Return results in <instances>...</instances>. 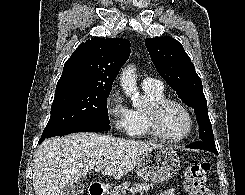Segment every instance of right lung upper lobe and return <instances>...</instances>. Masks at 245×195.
Wrapping results in <instances>:
<instances>
[{"instance_id": "obj_1", "label": "right lung upper lobe", "mask_w": 245, "mask_h": 195, "mask_svg": "<svg viewBox=\"0 0 245 195\" xmlns=\"http://www.w3.org/2000/svg\"><path fill=\"white\" fill-rule=\"evenodd\" d=\"M130 41L94 37L81 43L64 64L55 92L76 89L111 91L113 81L130 55Z\"/></svg>"}]
</instances>
